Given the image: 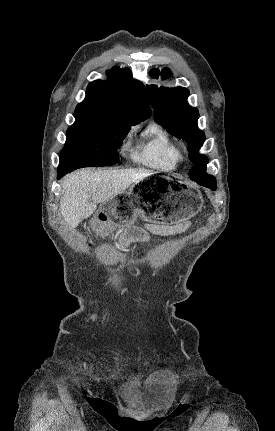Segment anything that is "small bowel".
Returning <instances> with one entry per match:
<instances>
[{"instance_id":"obj_1","label":"small bowel","mask_w":275,"mask_h":431,"mask_svg":"<svg viewBox=\"0 0 275 431\" xmlns=\"http://www.w3.org/2000/svg\"><path fill=\"white\" fill-rule=\"evenodd\" d=\"M188 227L189 223L183 222L175 225H147L146 230L132 228L121 236L120 246L126 248L132 242L148 241L150 240L149 233L158 236H173L186 231Z\"/></svg>"}]
</instances>
